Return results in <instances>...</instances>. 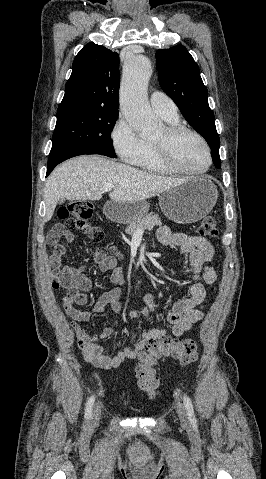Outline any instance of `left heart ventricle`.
Segmentation results:
<instances>
[{
    "label": "left heart ventricle",
    "mask_w": 266,
    "mask_h": 479,
    "mask_svg": "<svg viewBox=\"0 0 266 479\" xmlns=\"http://www.w3.org/2000/svg\"><path fill=\"white\" fill-rule=\"evenodd\" d=\"M164 129L154 139L162 137ZM171 154L176 164L186 170H201L207 164L206 151L201 142L192 134L183 133L171 142Z\"/></svg>",
    "instance_id": "left-heart-ventricle-1"
}]
</instances>
